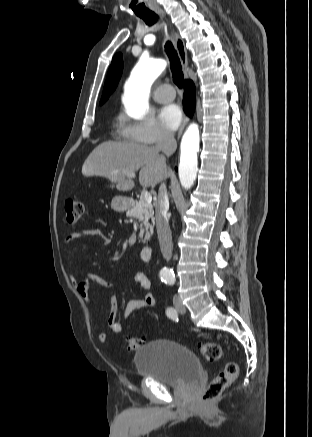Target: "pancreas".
<instances>
[{
  "instance_id": "obj_1",
  "label": "pancreas",
  "mask_w": 312,
  "mask_h": 437,
  "mask_svg": "<svg viewBox=\"0 0 312 437\" xmlns=\"http://www.w3.org/2000/svg\"><path fill=\"white\" fill-rule=\"evenodd\" d=\"M126 216L141 222L139 237L145 243L153 234L154 211L152 204L141 198L127 211Z\"/></svg>"
}]
</instances>
